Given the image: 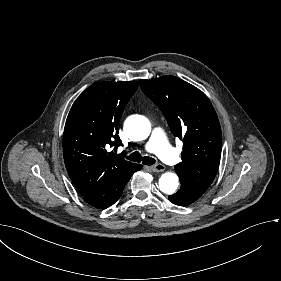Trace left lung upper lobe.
Wrapping results in <instances>:
<instances>
[{
  "mask_svg": "<svg viewBox=\"0 0 281 281\" xmlns=\"http://www.w3.org/2000/svg\"><path fill=\"white\" fill-rule=\"evenodd\" d=\"M140 87L162 111L174 136L183 140L180 182L204 193L218 171L222 133L207 96L174 76L140 80Z\"/></svg>",
  "mask_w": 281,
  "mask_h": 281,
  "instance_id": "obj_1",
  "label": "left lung upper lobe"
}]
</instances>
